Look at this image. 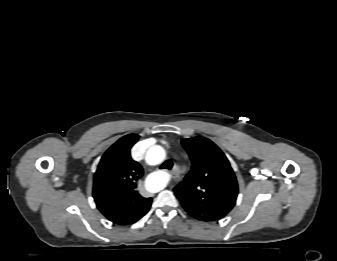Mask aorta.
Listing matches in <instances>:
<instances>
[{
    "mask_svg": "<svg viewBox=\"0 0 337 261\" xmlns=\"http://www.w3.org/2000/svg\"><path fill=\"white\" fill-rule=\"evenodd\" d=\"M165 159V150L159 145L150 147L145 156V160L149 165H158ZM159 184L156 186V191L161 190L164 187V177L158 175Z\"/></svg>",
    "mask_w": 337,
    "mask_h": 261,
    "instance_id": "1",
    "label": "aorta"
}]
</instances>
